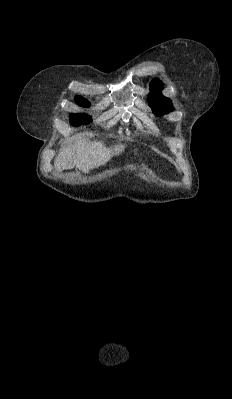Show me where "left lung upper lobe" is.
<instances>
[{
	"mask_svg": "<svg viewBox=\"0 0 232 399\" xmlns=\"http://www.w3.org/2000/svg\"><path fill=\"white\" fill-rule=\"evenodd\" d=\"M150 90L147 100L156 115H164L174 110L171 100L161 93L163 90L161 81L154 79L150 84Z\"/></svg>",
	"mask_w": 232,
	"mask_h": 399,
	"instance_id": "obj_1",
	"label": "left lung upper lobe"
}]
</instances>
